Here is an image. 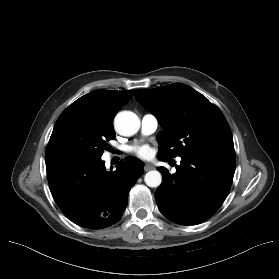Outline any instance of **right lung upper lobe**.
<instances>
[{
	"instance_id": "obj_1",
	"label": "right lung upper lobe",
	"mask_w": 279,
	"mask_h": 279,
	"mask_svg": "<svg viewBox=\"0 0 279 279\" xmlns=\"http://www.w3.org/2000/svg\"><path fill=\"white\" fill-rule=\"evenodd\" d=\"M133 91L98 90L88 93L64 110L78 111L94 118L102 126L113 129V119L122 106L127 104Z\"/></svg>"
}]
</instances>
